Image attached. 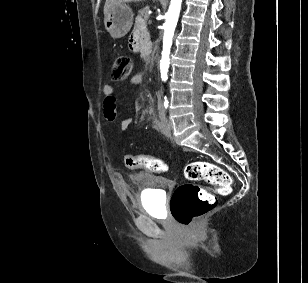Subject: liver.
<instances>
[{
	"instance_id": "liver-1",
	"label": "liver",
	"mask_w": 308,
	"mask_h": 283,
	"mask_svg": "<svg viewBox=\"0 0 308 283\" xmlns=\"http://www.w3.org/2000/svg\"><path fill=\"white\" fill-rule=\"evenodd\" d=\"M142 0H106L104 5V15H106L109 10L119 4L129 3V2H140Z\"/></svg>"
}]
</instances>
